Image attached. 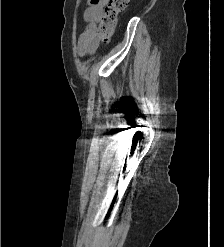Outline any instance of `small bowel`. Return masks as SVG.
I'll use <instances>...</instances> for the list:
<instances>
[{
    "label": "small bowel",
    "instance_id": "1",
    "mask_svg": "<svg viewBox=\"0 0 224 247\" xmlns=\"http://www.w3.org/2000/svg\"><path fill=\"white\" fill-rule=\"evenodd\" d=\"M108 0H89V7L84 13L86 27L79 38V52L81 55L93 54L99 45L97 24L103 15V7Z\"/></svg>",
    "mask_w": 224,
    "mask_h": 247
}]
</instances>
